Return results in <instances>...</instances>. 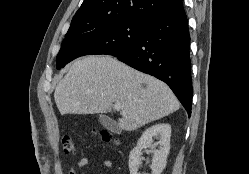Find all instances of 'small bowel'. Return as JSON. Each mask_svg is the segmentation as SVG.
Returning a JSON list of instances; mask_svg holds the SVG:
<instances>
[{"label":"small bowel","instance_id":"obj_1","mask_svg":"<svg viewBox=\"0 0 249 174\" xmlns=\"http://www.w3.org/2000/svg\"><path fill=\"white\" fill-rule=\"evenodd\" d=\"M89 162H90L89 157H82L76 164L70 167L68 174H78V172L86 165H88ZM101 164L104 168L107 169H111L113 167V164L110 160H103Z\"/></svg>","mask_w":249,"mask_h":174}]
</instances>
